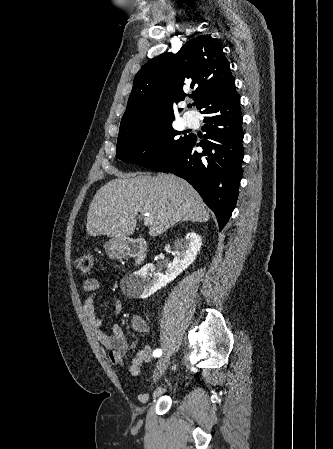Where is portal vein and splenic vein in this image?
I'll list each match as a JSON object with an SVG mask.
<instances>
[{
  "label": "portal vein and splenic vein",
  "mask_w": 333,
  "mask_h": 449,
  "mask_svg": "<svg viewBox=\"0 0 333 449\" xmlns=\"http://www.w3.org/2000/svg\"><path fill=\"white\" fill-rule=\"evenodd\" d=\"M153 223V217L151 216V214L146 213L144 214V224L146 226L151 225Z\"/></svg>",
  "instance_id": "1"
}]
</instances>
